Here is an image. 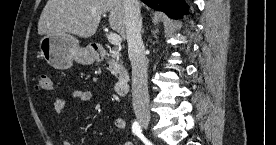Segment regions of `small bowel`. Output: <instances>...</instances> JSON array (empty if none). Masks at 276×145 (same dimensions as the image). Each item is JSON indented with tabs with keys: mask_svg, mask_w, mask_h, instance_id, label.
<instances>
[{
	"mask_svg": "<svg viewBox=\"0 0 276 145\" xmlns=\"http://www.w3.org/2000/svg\"><path fill=\"white\" fill-rule=\"evenodd\" d=\"M69 97L79 102H90L93 99L92 93L90 91L81 90V89L71 91L69 93ZM53 106L57 115L61 116L65 111L66 101L63 97H58L54 101ZM115 126L117 129L123 130L126 127V123L122 118H117L115 120ZM58 135L62 139H64L65 133L62 128L58 129ZM63 145H71V144L70 142L63 140ZM124 145H132V143L130 141H126Z\"/></svg>",
	"mask_w": 276,
	"mask_h": 145,
	"instance_id": "c3829d8e",
	"label": "small bowel"
}]
</instances>
